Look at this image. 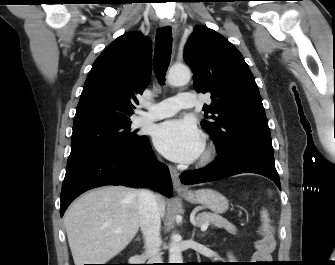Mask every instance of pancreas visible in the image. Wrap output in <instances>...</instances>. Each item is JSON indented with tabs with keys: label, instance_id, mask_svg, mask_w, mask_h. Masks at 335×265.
<instances>
[{
	"label": "pancreas",
	"instance_id": "obj_1",
	"mask_svg": "<svg viewBox=\"0 0 335 265\" xmlns=\"http://www.w3.org/2000/svg\"><path fill=\"white\" fill-rule=\"evenodd\" d=\"M197 221L200 224L208 222L209 224H212L215 227L224 228L231 234H236L237 232L235 225H233L228 220L215 213L203 212L201 214H198Z\"/></svg>",
	"mask_w": 335,
	"mask_h": 265
}]
</instances>
